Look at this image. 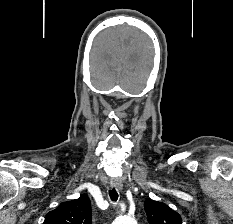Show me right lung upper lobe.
Returning a JSON list of instances; mask_svg holds the SVG:
<instances>
[{
  "label": "right lung upper lobe",
  "mask_w": 233,
  "mask_h": 224,
  "mask_svg": "<svg viewBox=\"0 0 233 224\" xmlns=\"http://www.w3.org/2000/svg\"><path fill=\"white\" fill-rule=\"evenodd\" d=\"M91 204L87 196L61 203L50 211L43 224H91Z\"/></svg>",
  "instance_id": "obj_1"
}]
</instances>
